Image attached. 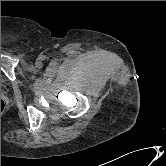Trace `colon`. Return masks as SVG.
<instances>
[{
    "instance_id": "5ec220e1",
    "label": "colon",
    "mask_w": 166,
    "mask_h": 166,
    "mask_svg": "<svg viewBox=\"0 0 166 166\" xmlns=\"http://www.w3.org/2000/svg\"><path fill=\"white\" fill-rule=\"evenodd\" d=\"M5 109V103L4 101L1 99V114L4 112Z\"/></svg>"
}]
</instances>
